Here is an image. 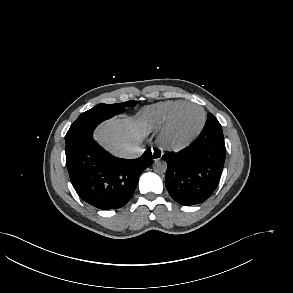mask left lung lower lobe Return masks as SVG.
Here are the masks:
<instances>
[{
  "label": "left lung lower lobe",
  "mask_w": 293,
  "mask_h": 293,
  "mask_svg": "<svg viewBox=\"0 0 293 293\" xmlns=\"http://www.w3.org/2000/svg\"><path fill=\"white\" fill-rule=\"evenodd\" d=\"M226 149L221 125L213 118L185 149L162 158L167 162L165 184L171 197L189 206L205 201L216 189Z\"/></svg>",
  "instance_id": "left-lung-lower-lobe-1"
}]
</instances>
